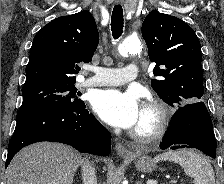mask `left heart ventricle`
<instances>
[{
  "label": "left heart ventricle",
  "instance_id": "1",
  "mask_svg": "<svg viewBox=\"0 0 224 184\" xmlns=\"http://www.w3.org/2000/svg\"><path fill=\"white\" fill-rule=\"evenodd\" d=\"M152 122H153L152 114L142 109L141 117L137 125L134 127V129L139 130L141 132H147L149 131Z\"/></svg>",
  "mask_w": 224,
  "mask_h": 184
}]
</instances>
